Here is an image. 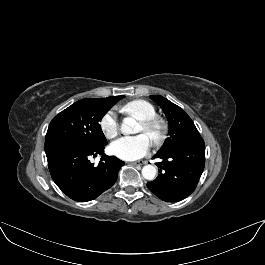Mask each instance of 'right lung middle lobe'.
Wrapping results in <instances>:
<instances>
[{
	"label": "right lung middle lobe",
	"instance_id": "dd1d6c3e",
	"mask_svg": "<svg viewBox=\"0 0 265 265\" xmlns=\"http://www.w3.org/2000/svg\"><path fill=\"white\" fill-rule=\"evenodd\" d=\"M115 104L106 98H86L75 102L52 119L45 140L68 138L91 146L106 144L99 122Z\"/></svg>",
	"mask_w": 265,
	"mask_h": 265
}]
</instances>
